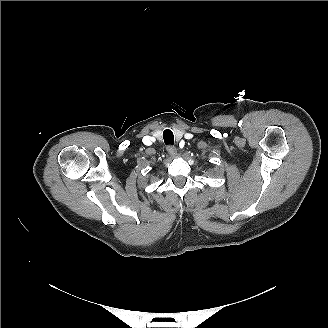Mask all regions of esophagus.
<instances>
[{"label":"esophagus","mask_w":328,"mask_h":328,"mask_svg":"<svg viewBox=\"0 0 328 328\" xmlns=\"http://www.w3.org/2000/svg\"><path fill=\"white\" fill-rule=\"evenodd\" d=\"M166 149H167V152L169 153V155H171L173 157L177 155V150L175 147L168 146Z\"/></svg>","instance_id":"34e87169"}]
</instances>
